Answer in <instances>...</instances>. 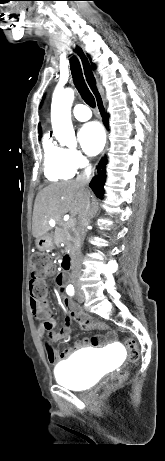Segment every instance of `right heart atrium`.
Wrapping results in <instances>:
<instances>
[{
	"instance_id": "1",
	"label": "right heart atrium",
	"mask_w": 165,
	"mask_h": 461,
	"mask_svg": "<svg viewBox=\"0 0 165 461\" xmlns=\"http://www.w3.org/2000/svg\"><path fill=\"white\" fill-rule=\"evenodd\" d=\"M67 158L71 166L75 169L86 166V157L77 149H66Z\"/></svg>"
}]
</instances>
